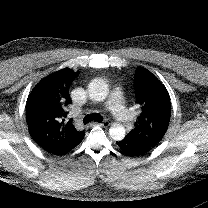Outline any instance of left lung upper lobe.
Returning <instances> with one entry per match:
<instances>
[{
	"instance_id": "left-lung-upper-lobe-1",
	"label": "left lung upper lobe",
	"mask_w": 208,
	"mask_h": 208,
	"mask_svg": "<svg viewBox=\"0 0 208 208\" xmlns=\"http://www.w3.org/2000/svg\"><path fill=\"white\" fill-rule=\"evenodd\" d=\"M134 87L140 114L135 128L126 137L155 147L168 129L171 116L169 93L162 82L143 67L135 71Z\"/></svg>"
}]
</instances>
